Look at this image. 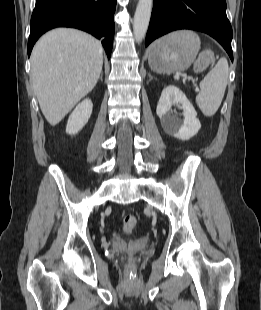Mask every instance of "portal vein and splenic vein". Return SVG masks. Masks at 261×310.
<instances>
[{
  "label": "portal vein and splenic vein",
  "instance_id": "obj_1",
  "mask_svg": "<svg viewBox=\"0 0 261 310\" xmlns=\"http://www.w3.org/2000/svg\"><path fill=\"white\" fill-rule=\"evenodd\" d=\"M180 75H181V74L177 73V74L175 75V78H179V77H180ZM195 91H196V92H199V89H198V88H196V89H195Z\"/></svg>",
  "mask_w": 261,
  "mask_h": 310
}]
</instances>
